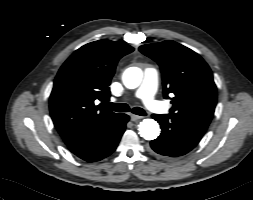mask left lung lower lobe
I'll list each match as a JSON object with an SVG mask.
<instances>
[{"instance_id": "obj_1", "label": "left lung lower lobe", "mask_w": 253, "mask_h": 200, "mask_svg": "<svg viewBox=\"0 0 253 200\" xmlns=\"http://www.w3.org/2000/svg\"><path fill=\"white\" fill-rule=\"evenodd\" d=\"M161 126L160 136L150 142L152 152L175 158L191 151L201 140L207 126L177 115L152 116Z\"/></svg>"}]
</instances>
